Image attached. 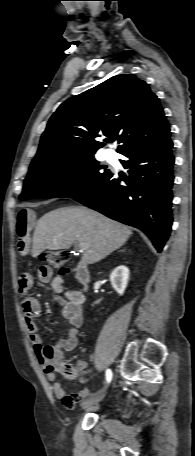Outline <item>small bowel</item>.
Here are the masks:
<instances>
[{
    "label": "small bowel",
    "instance_id": "small-bowel-1",
    "mask_svg": "<svg viewBox=\"0 0 195 456\" xmlns=\"http://www.w3.org/2000/svg\"><path fill=\"white\" fill-rule=\"evenodd\" d=\"M32 226L33 215L26 210L20 211L16 220V234L18 236V251L22 255L29 252ZM37 277L40 282L50 284L55 299L61 307L62 315L69 323V328L65 338L57 340L52 345H43V333L39 332L35 322L41 314V305L36 298L28 296L33 279L32 275L26 272L21 274L18 279V291L24 296L21 308L25 318L26 330L38 362L45 367L46 376L52 385L54 395L61 400L64 407L72 409L88 396L89 391L83 388L74 394H67L57 380L54 371L49 370V366L60 362L64 358L65 352L72 351L77 347L78 330L83 324L82 305L84 296L80 291L66 289L63 278L54 276L52 269L47 265L39 267ZM78 367L83 374L82 381H86L90 372L88 365L84 361H78Z\"/></svg>",
    "mask_w": 195,
    "mask_h": 456
}]
</instances>
